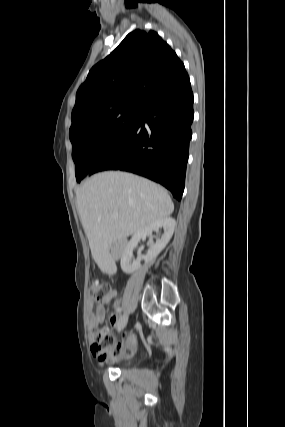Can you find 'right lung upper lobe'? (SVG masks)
Instances as JSON below:
<instances>
[{
    "mask_svg": "<svg viewBox=\"0 0 285 427\" xmlns=\"http://www.w3.org/2000/svg\"><path fill=\"white\" fill-rule=\"evenodd\" d=\"M185 70L155 31L136 29L89 72L76 93L69 134L80 126L130 105Z\"/></svg>",
    "mask_w": 285,
    "mask_h": 427,
    "instance_id": "right-lung-upper-lobe-1",
    "label": "right lung upper lobe"
}]
</instances>
